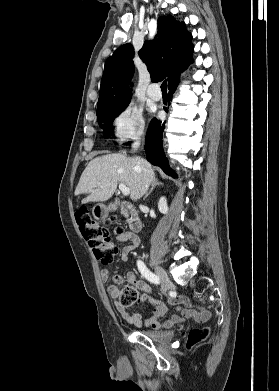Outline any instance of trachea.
Listing matches in <instances>:
<instances>
[{"mask_svg": "<svg viewBox=\"0 0 279 391\" xmlns=\"http://www.w3.org/2000/svg\"><path fill=\"white\" fill-rule=\"evenodd\" d=\"M161 90L167 92V80H164L161 84Z\"/></svg>", "mask_w": 279, "mask_h": 391, "instance_id": "obj_1", "label": "trachea"}]
</instances>
